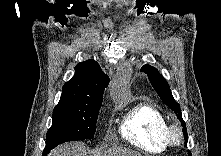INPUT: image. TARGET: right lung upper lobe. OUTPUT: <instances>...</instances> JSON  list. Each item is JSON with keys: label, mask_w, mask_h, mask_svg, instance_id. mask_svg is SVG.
I'll use <instances>...</instances> for the list:
<instances>
[{"label": "right lung upper lobe", "mask_w": 221, "mask_h": 156, "mask_svg": "<svg viewBox=\"0 0 221 156\" xmlns=\"http://www.w3.org/2000/svg\"><path fill=\"white\" fill-rule=\"evenodd\" d=\"M108 83V76L96 61L81 62L75 67L74 76L63 85L59 103L103 99V92Z\"/></svg>", "instance_id": "obj_1"}]
</instances>
